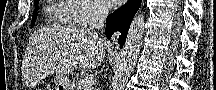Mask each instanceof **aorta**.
I'll return each instance as SVG.
<instances>
[{
    "instance_id": "aorta-1",
    "label": "aorta",
    "mask_w": 216,
    "mask_h": 90,
    "mask_svg": "<svg viewBox=\"0 0 216 90\" xmlns=\"http://www.w3.org/2000/svg\"><path fill=\"white\" fill-rule=\"evenodd\" d=\"M144 30L145 18L141 14H136L130 24L122 54L117 60L110 90H125L133 66L139 56Z\"/></svg>"
}]
</instances>
